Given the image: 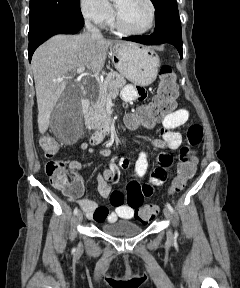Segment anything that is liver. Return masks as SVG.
Masks as SVG:
<instances>
[{"mask_svg":"<svg viewBox=\"0 0 240 288\" xmlns=\"http://www.w3.org/2000/svg\"><path fill=\"white\" fill-rule=\"evenodd\" d=\"M122 41L93 38L90 33L79 35H55L41 45L32 57L37 106L38 129L44 134L50 116L64 92L67 75L81 66L92 72L102 70L108 48ZM63 77V81H55Z\"/></svg>","mask_w":240,"mask_h":288,"instance_id":"6515ba94","label":"liver"}]
</instances>
